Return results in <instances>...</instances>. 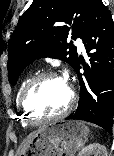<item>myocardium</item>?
<instances>
[{
    "mask_svg": "<svg viewBox=\"0 0 114 156\" xmlns=\"http://www.w3.org/2000/svg\"><path fill=\"white\" fill-rule=\"evenodd\" d=\"M47 78H61V77L53 71H45V72L38 73L28 80V82L25 84V86L23 87L19 95V99H18L19 108L23 114L25 121L30 125H38L44 122L61 119L70 112V110L72 109L75 103V100H76L75 91L70 85L66 83L69 89V100H68L67 105L61 112L52 116H48V117L37 118V117L32 116L25 106L26 96L36 84H38L40 81L47 79Z\"/></svg>",
    "mask_w": 114,
    "mask_h": 156,
    "instance_id": "1",
    "label": "myocardium"
}]
</instances>
